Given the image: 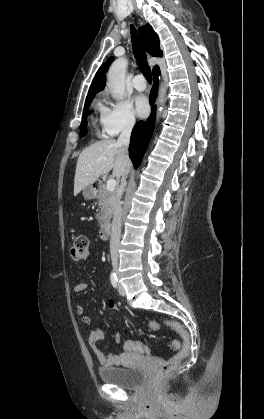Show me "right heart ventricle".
Segmentation results:
<instances>
[{
	"instance_id": "e07e8e85",
	"label": "right heart ventricle",
	"mask_w": 264,
	"mask_h": 419,
	"mask_svg": "<svg viewBox=\"0 0 264 419\" xmlns=\"http://www.w3.org/2000/svg\"><path fill=\"white\" fill-rule=\"evenodd\" d=\"M95 108H96V110H98V111H103V105H102V103H101V101H100V100H97V101H96V103H95Z\"/></svg>"
}]
</instances>
